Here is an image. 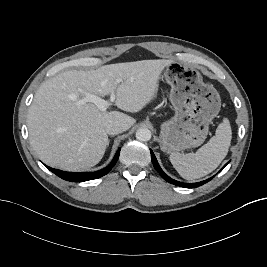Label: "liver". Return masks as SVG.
<instances>
[{
    "label": "liver",
    "mask_w": 267,
    "mask_h": 267,
    "mask_svg": "<svg viewBox=\"0 0 267 267\" xmlns=\"http://www.w3.org/2000/svg\"><path fill=\"white\" fill-rule=\"evenodd\" d=\"M170 60H142L104 65L97 70L62 72L43 82L29 108L30 144L47 165L66 171L95 166L108 145L106 126L118 122L128 130L136 120L119 111H100L85 93L104 97L114 92L115 105L139 112L155 96Z\"/></svg>",
    "instance_id": "obj_1"
}]
</instances>
